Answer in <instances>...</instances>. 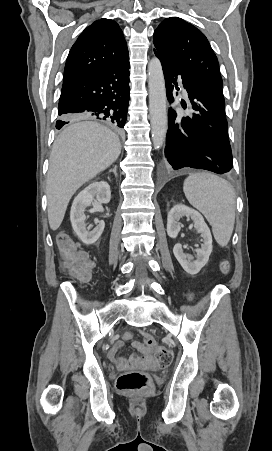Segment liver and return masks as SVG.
<instances>
[{"label": "liver", "instance_id": "liver-1", "mask_svg": "<svg viewBox=\"0 0 272 451\" xmlns=\"http://www.w3.org/2000/svg\"><path fill=\"white\" fill-rule=\"evenodd\" d=\"M82 120L88 118L74 116L53 144L46 182L51 229L62 224L76 190L109 168L121 154L117 134L98 122Z\"/></svg>", "mask_w": 272, "mask_h": 451}]
</instances>
